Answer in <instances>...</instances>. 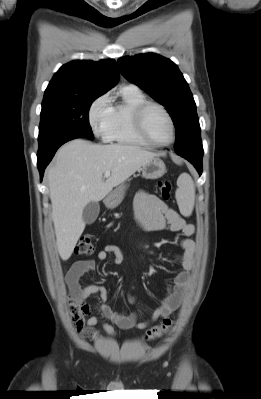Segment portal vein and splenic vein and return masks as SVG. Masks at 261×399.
Returning a JSON list of instances; mask_svg holds the SVG:
<instances>
[{
    "label": "portal vein and splenic vein",
    "instance_id": "1",
    "mask_svg": "<svg viewBox=\"0 0 261 399\" xmlns=\"http://www.w3.org/2000/svg\"><path fill=\"white\" fill-rule=\"evenodd\" d=\"M110 174H111L110 171H106V172L104 173V177H105V178H108V177L110 176Z\"/></svg>",
    "mask_w": 261,
    "mask_h": 399
}]
</instances>
